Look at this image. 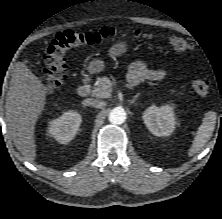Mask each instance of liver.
I'll use <instances>...</instances> for the list:
<instances>
[{
	"mask_svg": "<svg viewBox=\"0 0 222 219\" xmlns=\"http://www.w3.org/2000/svg\"><path fill=\"white\" fill-rule=\"evenodd\" d=\"M46 95V87L25 62H17L5 102L6 122L16 148L29 162L36 158L35 125Z\"/></svg>",
	"mask_w": 222,
	"mask_h": 219,
	"instance_id": "1",
	"label": "liver"
}]
</instances>
